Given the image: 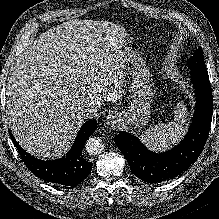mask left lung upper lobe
<instances>
[{"instance_id":"obj_1","label":"left lung upper lobe","mask_w":219,"mask_h":219,"mask_svg":"<svg viewBox=\"0 0 219 219\" xmlns=\"http://www.w3.org/2000/svg\"><path fill=\"white\" fill-rule=\"evenodd\" d=\"M188 66L192 71L208 73L204 63L203 50L201 47H199L195 54L188 60Z\"/></svg>"}]
</instances>
